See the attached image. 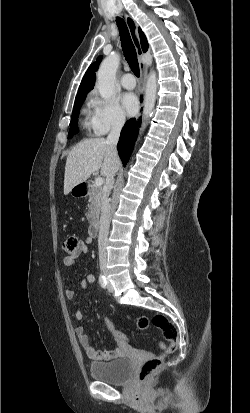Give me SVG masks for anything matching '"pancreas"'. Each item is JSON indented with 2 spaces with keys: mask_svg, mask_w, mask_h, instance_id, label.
Wrapping results in <instances>:
<instances>
[{
  "mask_svg": "<svg viewBox=\"0 0 250 413\" xmlns=\"http://www.w3.org/2000/svg\"><path fill=\"white\" fill-rule=\"evenodd\" d=\"M88 209L86 217L91 225L97 223L102 203V190L95 184H91L88 192Z\"/></svg>",
  "mask_w": 250,
  "mask_h": 413,
  "instance_id": "1",
  "label": "pancreas"
}]
</instances>
